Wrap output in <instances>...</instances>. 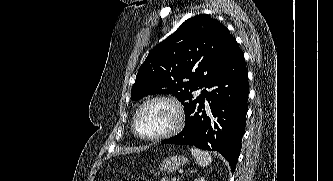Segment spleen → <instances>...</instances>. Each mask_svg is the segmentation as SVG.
I'll return each mask as SVG.
<instances>
[{
	"mask_svg": "<svg viewBox=\"0 0 333 181\" xmlns=\"http://www.w3.org/2000/svg\"><path fill=\"white\" fill-rule=\"evenodd\" d=\"M191 154L194 156L199 166H207L212 162V156L203 150L197 148H191Z\"/></svg>",
	"mask_w": 333,
	"mask_h": 181,
	"instance_id": "3e777b00",
	"label": "spleen"
}]
</instances>
